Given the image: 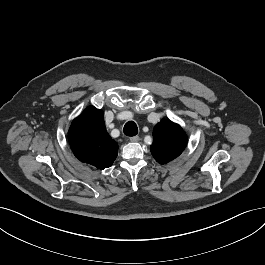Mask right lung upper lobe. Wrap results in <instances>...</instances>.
<instances>
[{
	"label": "right lung upper lobe",
	"instance_id": "obj_1",
	"mask_svg": "<svg viewBox=\"0 0 265 265\" xmlns=\"http://www.w3.org/2000/svg\"><path fill=\"white\" fill-rule=\"evenodd\" d=\"M68 139L74 155L98 169L110 167L117 157L118 145L106 131L104 113L93 106L72 122Z\"/></svg>",
	"mask_w": 265,
	"mask_h": 265
}]
</instances>
